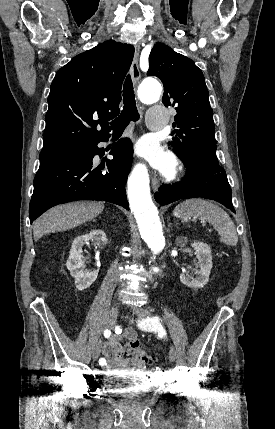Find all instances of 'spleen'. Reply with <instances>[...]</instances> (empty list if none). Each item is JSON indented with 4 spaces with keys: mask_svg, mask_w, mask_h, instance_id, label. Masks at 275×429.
<instances>
[{
    "mask_svg": "<svg viewBox=\"0 0 275 429\" xmlns=\"http://www.w3.org/2000/svg\"><path fill=\"white\" fill-rule=\"evenodd\" d=\"M173 214L183 222L191 218L208 222L217 229L220 241L229 246H235L238 242L236 227L230 216L212 202L200 198L185 200L176 206Z\"/></svg>",
    "mask_w": 275,
    "mask_h": 429,
    "instance_id": "obj_1",
    "label": "spleen"
}]
</instances>
